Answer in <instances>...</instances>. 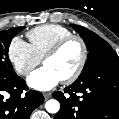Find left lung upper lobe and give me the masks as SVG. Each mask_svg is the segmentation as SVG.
<instances>
[{"mask_svg": "<svg viewBox=\"0 0 119 119\" xmlns=\"http://www.w3.org/2000/svg\"><path fill=\"white\" fill-rule=\"evenodd\" d=\"M84 40L89 53L84 68L78 78L87 77L94 70L106 65L119 63V57L112 47L91 30L71 24Z\"/></svg>", "mask_w": 119, "mask_h": 119, "instance_id": "5c2ea615", "label": "left lung upper lobe"}]
</instances>
